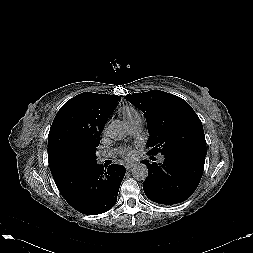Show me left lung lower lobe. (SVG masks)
<instances>
[{"label":"left lung lower lobe","mask_w":253,"mask_h":253,"mask_svg":"<svg viewBox=\"0 0 253 253\" xmlns=\"http://www.w3.org/2000/svg\"><path fill=\"white\" fill-rule=\"evenodd\" d=\"M206 154L197 150H180L163 154L162 163L143 160L142 163L149 168V175L143 183L146 196L165 205L188 199L201 180Z\"/></svg>","instance_id":"1"}]
</instances>
